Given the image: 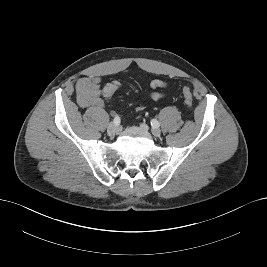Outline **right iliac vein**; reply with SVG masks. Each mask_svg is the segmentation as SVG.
I'll use <instances>...</instances> for the list:
<instances>
[{"label":"right iliac vein","mask_w":267,"mask_h":267,"mask_svg":"<svg viewBox=\"0 0 267 267\" xmlns=\"http://www.w3.org/2000/svg\"><path fill=\"white\" fill-rule=\"evenodd\" d=\"M117 129L118 126L114 122H111L107 127V132L108 134H114L117 131Z\"/></svg>","instance_id":"obj_1"}]
</instances>
